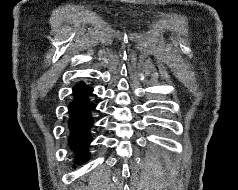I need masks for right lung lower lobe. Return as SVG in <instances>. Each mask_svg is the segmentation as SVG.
I'll return each mask as SVG.
<instances>
[{
    "label": "right lung lower lobe",
    "instance_id": "1",
    "mask_svg": "<svg viewBox=\"0 0 238 190\" xmlns=\"http://www.w3.org/2000/svg\"><path fill=\"white\" fill-rule=\"evenodd\" d=\"M93 89L83 82L73 87V99L68 106V141L76 153V162L83 163L88 157V146L91 142V128L96 105L91 101Z\"/></svg>",
    "mask_w": 238,
    "mask_h": 190
}]
</instances>
